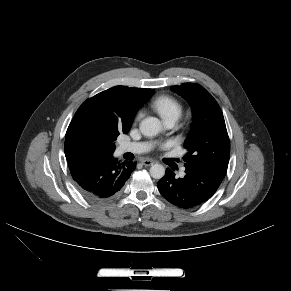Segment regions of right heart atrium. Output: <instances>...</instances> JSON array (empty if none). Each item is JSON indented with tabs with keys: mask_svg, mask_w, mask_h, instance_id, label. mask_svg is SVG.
I'll list each match as a JSON object with an SVG mask.
<instances>
[{
	"mask_svg": "<svg viewBox=\"0 0 291 291\" xmlns=\"http://www.w3.org/2000/svg\"><path fill=\"white\" fill-rule=\"evenodd\" d=\"M140 117H141V113H138L137 114V119L140 118Z\"/></svg>",
	"mask_w": 291,
	"mask_h": 291,
	"instance_id": "1",
	"label": "right heart atrium"
}]
</instances>
